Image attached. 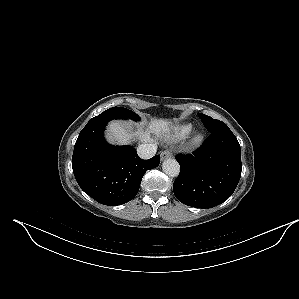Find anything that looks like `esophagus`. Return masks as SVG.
Segmentation results:
<instances>
[{"instance_id": "1", "label": "esophagus", "mask_w": 299, "mask_h": 299, "mask_svg": "<svg viewBox=\"0 0 299 299\" xmlns=\"http://www.w3.org/2000/svg\"><path fill=\"white\" fill-rule=\"evenodd\" d=\"M160 156H161V159L164 160V159L170 158L172 156V153L169 150H165L160 154Z\"/></svg>"}]
</instances>
